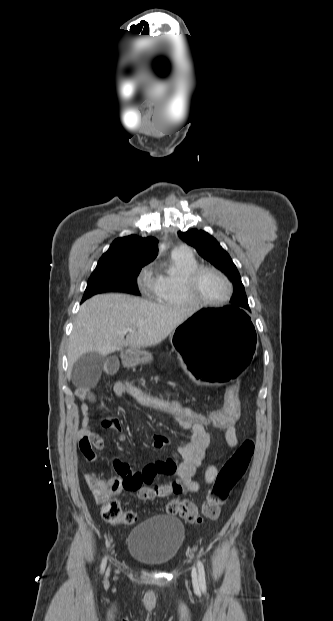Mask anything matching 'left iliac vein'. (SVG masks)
Listing matches in <instances>:
<instances>
[{"instance_id": "4c4485c4", "label": "left iliac vein", "mask_w": 333, "mask_h": 621, "mask_svg": "<svg viewBox=\"0 0 333 621\" xmlns=\"http://www.w3.org/2000/svg\"><path fill=\"white\" fill-rule=\"evenodd\" d=\"M192 580L195 585L198 584V574L195 569L192 570Z\"/></svg>"}]
</instances>
